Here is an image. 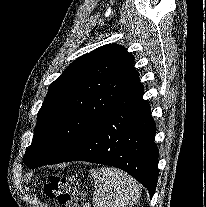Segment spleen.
<instances>
[{
	"instance_id": "3e777b00",
	"label": "spleen",
	"mask_w": 206,
	"mask_h": 207,
	"mask_svg": "<svg viewBox=\"0 0 206 207\" xmlns=\"http://www.w3.org/2000/svg\"><path fill=\"white\" fill-rule=\"evenodd\" d=\"M95 183L93 207H132L140 198L139 184L117 168L89 171Z\"/></svg>"
}]
</instances>
